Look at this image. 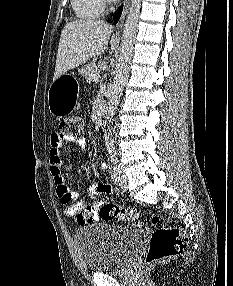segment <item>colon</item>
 <instances>
[{
	"label": "colon",
	"mask_w": 233,
	"mask_h": 286,
	"mask_svg": "<svg viewBox=\"0 0 233 286\" xmlns=\"http://www.w3.org/2000/svg\"><path fill=\"white\" fill-rule=\"evenodd\" d=\"M83 118L79 115L64 119L56 132L63 138H80L83 132ZM98 217L105 221L133 222L137 219L138 213L133 209H123L106 203L95 210ZM160 219L158 216L152 218L153 225H157ZM187 244L185 232L176 226L158 227L152 234L146 262L156 263L168 259L181 252Z\"/></svg>",
	"instance_id": "colon-1"
}]
</instances>
